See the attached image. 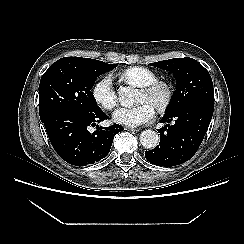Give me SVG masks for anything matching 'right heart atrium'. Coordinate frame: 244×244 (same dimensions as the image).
<instances>
[{
	"label": "right heart atrium",
	"mask_w": 244,
	"mask_h": 244,
	"mask_svg": "<svg viewBox=\"0 0 244 244\" xmlns=\"http://www.w3.org/2000/svg\"><path fill=\"white\" fill-rule=\"evenodd\" d=\"M95 102L105 110H112L118 103L110 76L101 78L92 88Z\"/></svg>",
	"instance_id": "obj_1"
}]
</instances>
